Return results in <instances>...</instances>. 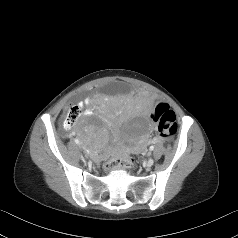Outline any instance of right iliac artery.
Instances as JSON below:
<instances>
[{"mask_svg": "<svg viewBox=\"0 0 238 238\" xmlns=\"http://www.w3.org/2000/svg\"><path fill=\"white\" fill-rule=\"evenodd\" d=\"M75 143H76V144H79L80 141L76 138V139H75Z\"/></svg>", "mask_w": 238, "mask_h": 238, "instance_id": "82829eb1", "label": "right iliac artery"}]
</instances>
